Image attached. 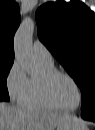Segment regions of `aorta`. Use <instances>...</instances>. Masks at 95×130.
Instances as JSON below:
<instances>
[{
	"label": "aorta",
	"mask_w": 95,
	"mask_h": 130,
	"mask_svg": "<svg viewBox=\"0 0 95 130\" xmlns=\"http://www.w3.org/2000/svg\"><path fill=\"white\" fill-rule=\"evenodd\" d=\"M34 29V20L27 18L18 28L14 38L15 57L31 76L35 75L38 71L32 47Z\"/></svg>",
	"instance_id": "1"
}]
</instances>
